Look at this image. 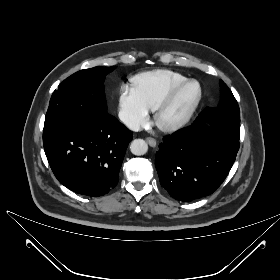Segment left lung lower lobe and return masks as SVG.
<instances>
[{"label": "left lung lower lobe", "instance_id": "1", "mask_svg": "<svg viewBox=\"0 0 280 280\" xmlns=\"http://www.w3.org/2000/svg\"><path fill=\"white\" fill-rule=\"evenodd\" d=\"M238 150L239 138L195 120L160 143L155 157L160 183L182 202L208 196L227 177Z\"/></svg>", "mask_w": 280, "mask_h": 280}]
</instances>
